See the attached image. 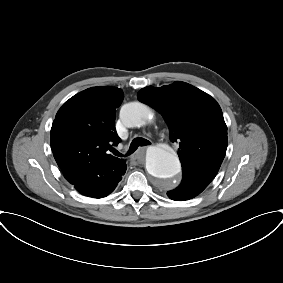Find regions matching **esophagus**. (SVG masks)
I'll use <instances>...</instances> for the list:
<instances>
[{"label": "esophagus", "instance_id": "obj_1", "mask_svg": "<svg viewBox=\"0 0 283 283\" xmlns=\"http://www.w3.org/2000/svg\"><path fill=\"white\" fill-rule=\"evenodd\" d=\"M145 150L146 147L139 148L138 151L134 155H132L131 159L137 162H143Z\"/></svg>", "mask_w": 283, "mask_h": 283}]
</instances>
